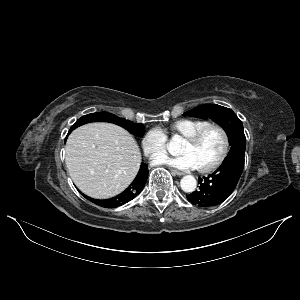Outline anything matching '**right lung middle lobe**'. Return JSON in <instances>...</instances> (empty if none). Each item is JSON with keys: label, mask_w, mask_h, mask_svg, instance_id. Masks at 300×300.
<instances>
[{"label": "right lung middle lobe", "mask_w": 300, "mask_h": 300, "mask_svg": "<svg viewBox=\"0 0 300 300\" xmlns=\"http://www.w3.org/2000/svg\"><path fill=\"white\" fill-rule=\"evenodd\" d=\"M89 122H111L114 124H117L123 128H125L130 133L137 135V136H143L145 127L143 124H137L133 123L132 121H128L123 118H119L114 114L107 113V112H99V113H91L85 116H82L80 119H78L70 128L69 133L74 130L75 128L89 123Z\"/></svg>", "instance_id": "obj_1"}]
</instances>
